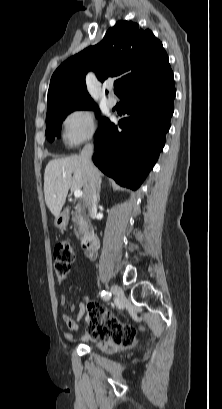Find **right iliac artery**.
Masks as SVG:
<instances>
[{
  "label": "right iliac artery",
  "mask_w": 222,
  "mask_h": 409,
  "mask_svg": "<svg viewBox=\"0 0 222 409\" xmlns=\"http://www.w3.org/2000/svg\"><path fill=\"white\" fill-rule=\"evenodd\" d=\"M101 296L104 300H109L111 297V293L110 292H106V291H102Z\"/></svg>",
  "instance_id": "obj_1"
}]
</instances>
